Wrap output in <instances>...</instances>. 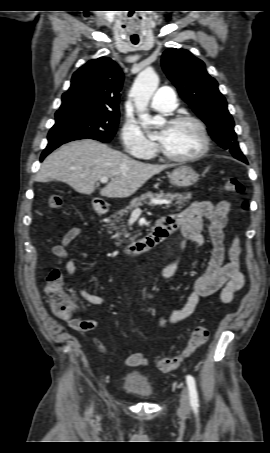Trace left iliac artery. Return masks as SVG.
I'll return each mask as SVG.
<instances>
[{"mask_svg":"<svg viewBox=\"0 0 270 453\" xmlns=\"http://www.w3.org/2000/svg\"><path fill=\"white\" fill-rule=\"evenodd\" d=\"M189 393H190V403L193 409H197L198 407V393L196 389V382L193 376L187 375L186 377Z\"/></svg>","mask_w":270,"mask_h":453,"instance_id":"obj_1","label":"left iliac artery"}]
</instances>
